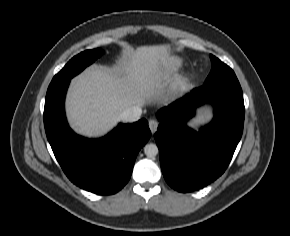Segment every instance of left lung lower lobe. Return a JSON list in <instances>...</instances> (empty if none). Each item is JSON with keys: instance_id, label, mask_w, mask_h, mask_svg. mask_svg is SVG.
I'll return each instance as SVG.
<instances>
[{"instance_id": "obj_1", "label": "left lung lower lobe", "mask_w": 290, "mask_h": 236, "mask_svg": "<svg viewBox=\"0 0 290 236\" xmlns=\"http://www.w3.org/2000/svg\"><path fill=\"white\" fill-rule=\"evenodd\" d=\"M204 103L213 104L215 115L197 132L186 122ZM244 115L237 78L204 84L160 109L155 140L166 182L179 192H191L221 176L241 139Z\"/></svg>"}]
</instances>
